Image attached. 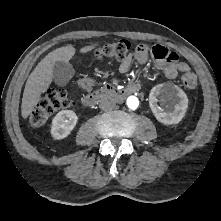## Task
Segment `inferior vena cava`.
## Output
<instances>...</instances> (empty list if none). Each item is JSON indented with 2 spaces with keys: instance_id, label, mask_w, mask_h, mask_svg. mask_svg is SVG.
<instances>
[{
  "instance_id": "inferior-vena-cava-1",
  "label": "inferior vena cava",
  "mask_w": 221,
  "mask_h": 221,
  "mask_svg": "<svg viewBox=\"0 0 221 221\" xmlns=\"http://www.w3.org/2000/svg\"><path fill=\"white\" fill-rule=\"evenodd\" d=\"M116 105L115 99L112 97L106 96L100 100V109L104 111L112 110Z\"/></svg>"
}]
</instances>
